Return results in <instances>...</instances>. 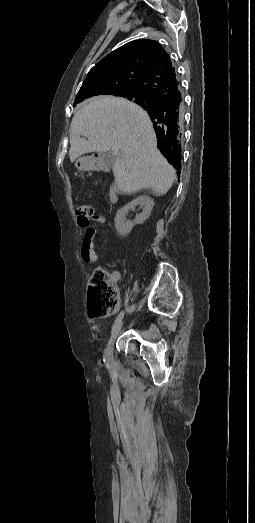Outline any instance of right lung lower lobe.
Wrapping results in <instances>:
<instances>
[{
	"label": "right lung lower lobe",
	"instance_id": "1",
	"mask_svg": "<svg viewBox=\"0 0 255 523\" xmlns=\"http://www.w3.org/2000/svg\"><path fill=\"white\" fill-rule=\"evenodd\" d=\"M180 110L181 103L178 100L161 102L150 110V117L155 121V128L157 130L153 138L156 142L164 145V150L169 155L178 152L181 148L178 140H172V138L177 137L180 133L178 120L176 118ZM178 173L180 174V169Z\"/></svg>",
	"mask_w": 255,
	"mask_h": 523
}]
</instances>
